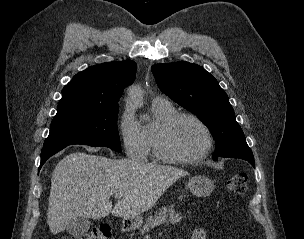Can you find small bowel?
Here are the masks:
<instances>
[{"label":"small bowel","mask_w":304,"mask_h":239,"mask_svg":"<svg viewBox=\"0 0 304 239\" xmlns=\"http://www.w3.org/2000/svg\"><path fill=\"white\" fill-rule=\"evenodd\" d=\"M190 239H206V233L203 229L198 228L195 229L191 235H190Z\"/></svg>","instance_id":"obj_1"}]
</instances>
